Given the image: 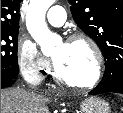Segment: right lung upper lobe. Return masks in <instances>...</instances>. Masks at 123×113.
<instances>
[{"label": "right lung upper lobe", "instance_id": "cb5924a9", "mask_svg": "<svg viewBox=\"0 0 123 113\" xmlns=\"http://www.w3.org/2000/svg\"><path fill=\"white\" fill-rule=\"evenodd\" d=\"M22 0H1V30L19 29V7Z\"/></svg>", "mask_w": 123, "mask_h": 113}]
</instances>
